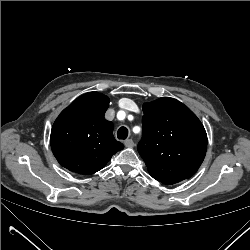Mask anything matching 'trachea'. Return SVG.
I'll return each mask as SVG.
<instances>
[{"mask_svg": "<svg viewBox=\"0 0 250 250\" xmlns=\"http://www.w3.org/2000/svg\"><path fill=\"white\" fill-rule=\"evenodd\" d=\"M118 139H126L128 137V129L126 127H120L117 131Z\"/></svg>", "mask_w": 250, "mask_h": 250, "instance_id": "1", "label": "trachea"}]
</instances>
